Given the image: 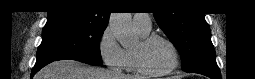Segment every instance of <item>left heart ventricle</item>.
Instances as JSON below:
<instances>
[{
  "instance_id": "obj_1",
  "label": "left heart ventricle",
  "mask_w": 255,
  "mask_h": 79,
  "mask_svg": "<svg viewBox=\"0 0 255 79\" xmlns=\"http://www.w3.org/2000/svg\"><path fill=\"white\" fill-rule=\"evenodd\" d=\"M138 46L139 44L136 47ZM172 57L170 47L160 39L154 40L143 49L144 63L152 71L167 69L172 63Z\"/></svg>"
}]
</instances>
